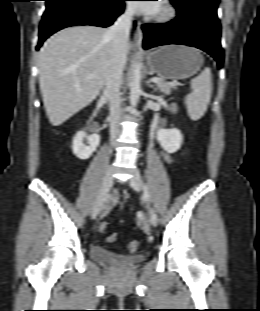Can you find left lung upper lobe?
Listing matches in <instances>:
<instances>
[{
  "mask_svg": "<svg viewBox=\"0 0 260 311\" xmlns=\"http://www.w3.org/2000/svg\"><path fill=\"white\" fill-rule=\"evenodd\" d=\"M171 3L176 7L179 13L199 10L218 19L217 7L219 0H171Z\"/></svg>",
  "mask_w": 260,
  "mask_h": 311,
  "instance_id": "5c2ea615",
  "label": "left lung upper lobe"
}]
</instances>
